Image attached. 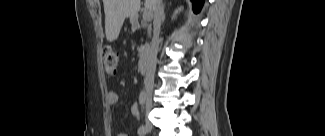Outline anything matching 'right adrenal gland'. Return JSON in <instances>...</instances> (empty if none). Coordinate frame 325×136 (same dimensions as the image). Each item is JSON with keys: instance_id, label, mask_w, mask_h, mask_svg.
Returning a JSON list of instances; mask_svg holds the SVG:
<instances>
[{"instance_id": "1", "label": "right adrenal gland", "mask_w": 325, "mask_h": 136, "mask_svg": "<svg viewBox=\"0 0 325 136\" xmlns=\"http://www.w3.org/2000/svg\"><path fill=\"white\" fill-rule=\"evenodd\" d=\"M164 19H165V14L163 15V21H164Z\"/></svg>"}]
</instances>
